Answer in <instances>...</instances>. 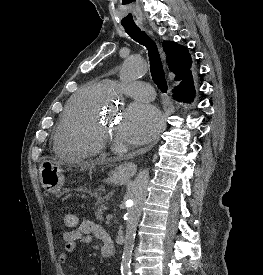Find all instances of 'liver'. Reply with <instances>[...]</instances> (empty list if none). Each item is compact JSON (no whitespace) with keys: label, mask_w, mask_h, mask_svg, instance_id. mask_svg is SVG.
<instances>
[{"label":"liver","mask_w":263,"mask_h":275,"mask_svg":"<svg viewBox=\"0 0 263 275\" xmlns=\"http://www.w3.org/2000/svg\"><path fill=\"white\" fill-rule=\"evenodd\" d=\"M85 165H86V166H92V167H93V166L95 165V163H94V162H90V163H86Z\"/></svg>","instance_id":"obj_1"}]
</instances>
